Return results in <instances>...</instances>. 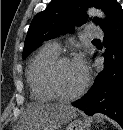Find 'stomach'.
Wrapping results in <instances>:
<instances>
[{
    "mask_svg": "<svg viewBox=\"0 0 123 130\" xmlns=\"http://www.w3.org/2000/svg\"><path fill=\"white\" fill-rule=\"evenodd\" d=\"M66 130H86V125L81 120H74L68 124Z\"/></svg>",
    "mask_w": 123,
    "mask_h": 130,
    "instance_id": "obj_1",
    "label": "stomach"
}]
</instances>
